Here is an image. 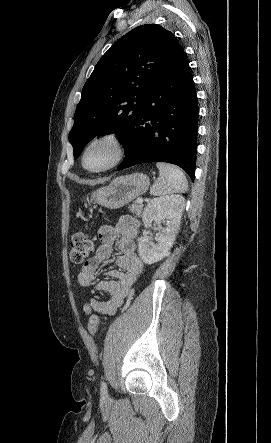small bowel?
Masks as SVG:
<instances>
[{
    "mask_svg": "<svg viewBox=\"0 0 271 443\" xmlns=\"http://www.w3.org/2000/svg\"><path fill=\"white\" fill-rule=\"evenodd\" d=\"M138 227L139 223L135 218L125 216L117 226L104 225L99 229L100 245L95 255L80 270L78 282L83 287L92 285L102 263L112 256L115 245L119 250L116 260L118 268L104 272L103 274L109 279L96 283L95 289L100 293H107L108 298L105 300L91 298L87 301L83 308L87 316L93 312L106 316L115 315L132 284L142 272L143 262L137 254L134 241Z\"/></svg>",
    "mask_w": 271,
    "mask_h": 443,
    "instance_id": "1",
    "label": "small bowel"
}]
</instances>
